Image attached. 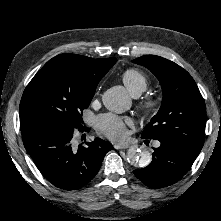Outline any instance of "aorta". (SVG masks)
I'll list each match as a JSON object with an SVG mask.
<instances>
[{"instance_id": "1", "label": "aorta", "mask_w": 221, "mask_h": 221, "mask_svg": "<svg viewBox=\"0 0 221 221\" xmlns=\"http://www.w3.org/2000/svg\"><path fill=\"white\" fill-rule=\"evenodd\" d=\"M102 102L115 113H123L131 106V99L122 87L108 89L102 96ZM127 160L134 167L144 168L150 164L152 155L145 148L132 146L127 151Z\"/></svg>"}]
</instances>
